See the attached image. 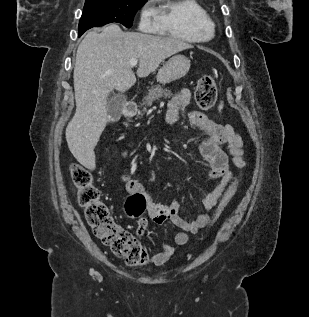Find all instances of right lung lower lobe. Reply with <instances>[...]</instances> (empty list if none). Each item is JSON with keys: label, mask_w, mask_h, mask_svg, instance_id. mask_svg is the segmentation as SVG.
<instances>
[{"label": "right lung lower lobe", "mask_w": 309, "mask_h": 317, "mask_svg": "<svg viewBox=\"0 0 309 317\" xmlns=\"http://www.w3.org/2000/svg\"><path fill=\"white\" fill-rule=\"evenodd\" d=\"M84 32H79V37L83 34Z\"/></svg>", "instance_id": "98d812e1"}]
</instances>
